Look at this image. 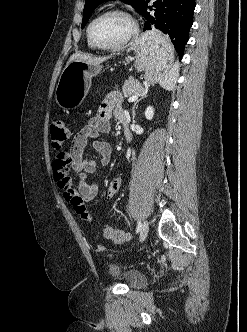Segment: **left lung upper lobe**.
<instances>
[{
	"label": "left lung upper lobe",
	"mask_w": 247,
	"mask_h": 332,
	"mask_svg": "<svg viewBox=\"0 0 247 332\" xmlns=\"http://www.w3.org/2000/svg\"><path fill=\"white\" fill-rule=\"evenodd\" d=\"M110 1V0H86L85 1V6L83 10V21L81 28H84L85 25L87 24L91 14L93 11L99 6L101 3ZM122 2L131 5L134 9H136L138 12L141 13L145 6V1L146 0H121Z\"/></svg>",
	"instance_id": "1"
}]
</instances>
